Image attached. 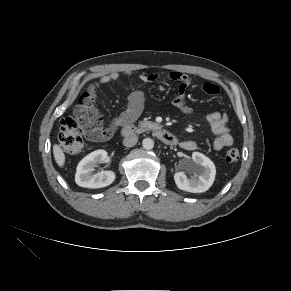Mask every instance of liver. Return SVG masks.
I'll use <instances>...</instances> for the list:
<instances>
[{
	"mask_svg": "<svg viewBox=\"0 0 291 291\" xmlns=\"http://www.w3.org/2000/svg\"><path fill=\"white\" fill-rule=\"evenodd\" d=\"M53 154L58 166L63 167L65 164V154L63 153V150L59 145H53Z\"/></svg>",
	"mask_w": 291,
	"mask_h": 291,
	"instance_id": "liver-1",
	"label": "liver"
}]
</instances>
